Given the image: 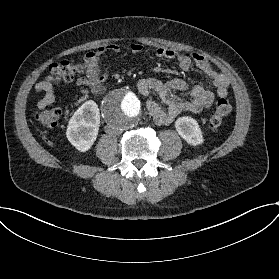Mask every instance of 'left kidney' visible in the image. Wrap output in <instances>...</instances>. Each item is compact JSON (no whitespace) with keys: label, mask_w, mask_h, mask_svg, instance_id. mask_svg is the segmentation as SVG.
<instances>
[{"label":"left kidney","mask_w":279,"mask_h":279,"mask_svg":"<svg viewBox=\"0 0 279 279\" xmlns=\"http://www.w3.org/2000/svg\"><path fill=\"white\" fill-rule=\"evenodd\" d=\"M175 128L178 134L193 146L202 144L204 138L198 122L189 116L179 117L175 121Z\"/></svg>","instance_id":"left-kidney-1"}]
</instances>
